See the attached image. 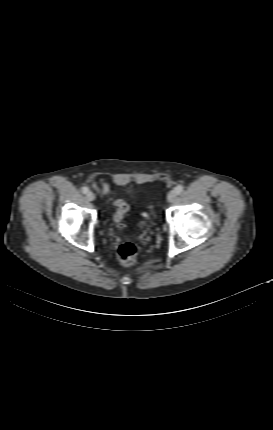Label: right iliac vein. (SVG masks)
<instances>
[{"mask_svg": "<svg viewBox=\"0 0 273 430\" xmlns=\"http://www.w3.org/2000/svg\"><path fill=\"white\" fill-rule=\"evenodd\" d=\"M86 198H87L88 201H93L95 199V194L93 192H91V191H88L86 193Z\"/></svg>", "mask_w": 273, "mask_h": 430, "instance_id": "63e3f726", "label": "right iliac vein"}]
</instances>
